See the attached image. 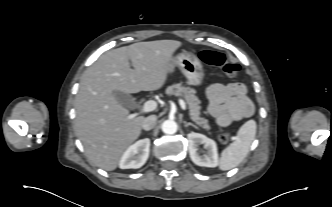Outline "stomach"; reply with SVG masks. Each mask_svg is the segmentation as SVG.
Here are the masks:
<instances>
[{
    "instance_id": "1",
    "label": "stomach",
    "mask_w": 332,
    "mask_h": 207,
    "mask_svg": "<svg viewBox=\"0 0 332 207\" xmlns=\"http://www.w3.org/2000/svg\"><path fill=\"white\" fill-rule=\"evenodd\" d=\"M178 67L188 83L193 86H200L204 80V70L200 59L193 53L183 52L172 57L169 72Z\"/></svg>"
}]
</instances>
